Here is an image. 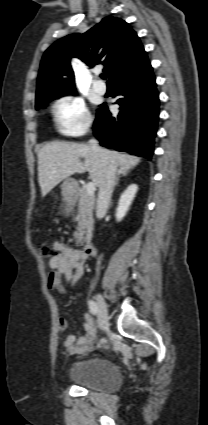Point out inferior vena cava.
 Wrapping results in <instances>:
<instances>
[{
	"label": "inferior vena cava",
	"mask_w": 208,
	"mask_h": 425,
	"mask_svg": "<svg viewBox=\"0 0 208 425\" xmlns=\"http://www.w3.org/2000/svg\"><path fill=\"white\" fill-rule=\"evenodd\" d=\"M91 148L99 153H103L105 156L104 162V170L102 180L99 186V193L97 199V207H96V216L100 218L103 213L109 207L111 196L115 186L116 180V172H117V163L114 158L104 152L98 145V141L96 139H91L89 141Z\"/></svg>",
	"instance_id": "602c4592"
}]
</instances>
